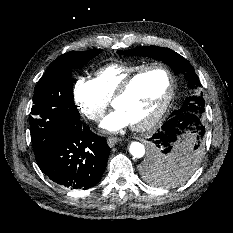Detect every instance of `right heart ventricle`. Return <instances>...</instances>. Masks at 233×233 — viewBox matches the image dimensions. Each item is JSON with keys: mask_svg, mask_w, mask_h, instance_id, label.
<instances>
[{"mask_svg": "<svg viewBox=\"0 0 233 233\" xmlns=\"http://www.w3.org/2000/svg\"><path fill=\"white\" fill-rule=\"evenodd\" d=\"M143 67L144 64H109L95 71L94 80L101 95L110 101L122 82Z\"/></svg>", "mask_w": 233, "mask_h": 233, "instance_id": "right-heart-ventricle-1", "label": "right heart ventricle"}]
</instances>
